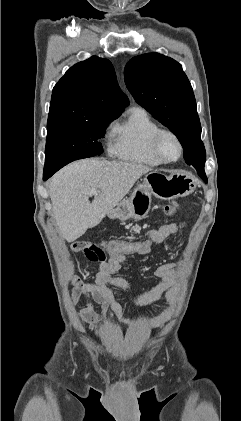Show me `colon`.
Masks as SVG:
<instances>
[{
    "mask_svg": "<svg viewBox=\"0 0 241 421\" xmlns=\"http://www.w3.org/2000/svg\"><path fill=\"white\" fill-rule=\"evenodd\" d=\"M177 210V205L172 203L165 207V214L172 216ZM154 243L144 240H111L108 242L94 243L81 241L74 243L71 248L74 251L83 252L86 257L95 263L102 264L106 260V255H144L151 251Z\"/></svg>",
    "mask_w": 241,
    "mask_h": 421,
    "instance_id": "5ec220e1",
    "label": "colon"
}]
</instances>
